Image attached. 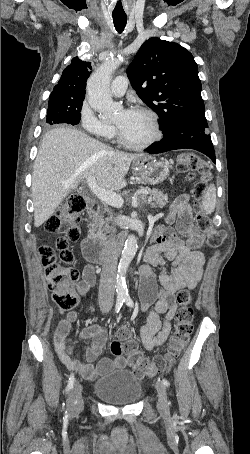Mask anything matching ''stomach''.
<instances>
[{"instance_id":"1","label":"stomach","mask_w":250,"mask_h":454,"mask_svg":"<svg viewBox=\"0 0 250 454\" xmlns=\"http://www.w3.org/2000/svg\"><path fill=\"white\" fill-rule=\"evenodd\" d=\"M171 165L167 160H156L149 155H141L133 160V173L141 181L149 184L162 182L169 174Z\"/></svg>"}]
</instances>
